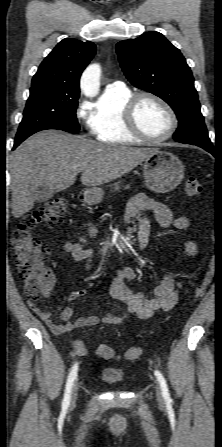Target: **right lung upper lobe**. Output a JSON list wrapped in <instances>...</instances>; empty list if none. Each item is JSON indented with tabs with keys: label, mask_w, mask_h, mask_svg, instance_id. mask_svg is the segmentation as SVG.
I'll use <instances>...</instances> for the list:
<instances>
[{
	"label": "right lung upper lobe",
	"mask_w": 222,
	"mask_h": 447,
	"mask_svg": "<svg viewBox=\"0 0 222 447\" xmlns=\"http://www.w3.org/2000/svg\"><path fill=\"white\" fill-rule=\"evenodd\" d=\"M96 52L92 42L63 39L43 60L33 76L32 87L49 86L66 95H79V79Z\"/></svg>",
	"instance_id": "obj_1"
}]
</instances>
